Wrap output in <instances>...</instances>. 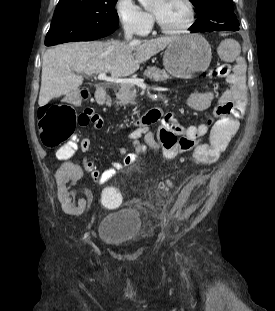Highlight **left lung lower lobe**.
<instances>
[{
  "instance_id": "obj_1",
  "label": "left lung lower lobe",
  "mask_w": 275,
  "mask_h": 311,
  "mask_svg": "<svg viewBox=\"0 0 275 311\" xmlns=\"http://www.w3.org/2000/svg\"><path fill=\"white\" fill-rule=\"evenodd\" d=\"M191 31H192V32H198V31H196L195 29H192V28H191ZM207 31H209V30H207Z\"/></svg>"
}]
</instances>
